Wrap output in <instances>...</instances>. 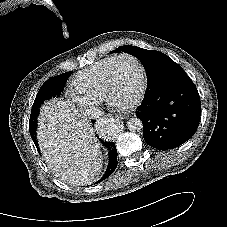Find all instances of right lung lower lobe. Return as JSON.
I'll return each instance as SVG.
<instances>
[{
    "mask_svg": "<svg viewBox=\"0 0 227 227\" xmlns=\"http://www.w3.org/2000/svg\"><path fill=\"white\" fill-rule=\"evenodd\" d=\"M94 122L95 120L93 121V123ZM101 142L104 144L105 147L109 149V163L105 174L101 178V181H102L108 178L117 167V150L113 142H106V141L105 142L101 141Z\"/></svg>",
    "mask_w": 227,
    "mask_h": 227,
    "instance_id": "obj_1",
    "label": "right lung lower lobe"
}]
</instances>
